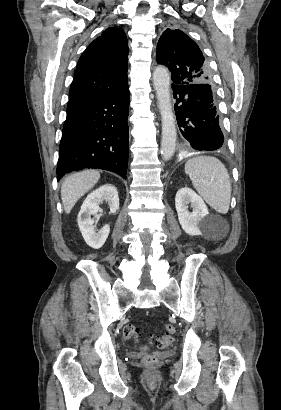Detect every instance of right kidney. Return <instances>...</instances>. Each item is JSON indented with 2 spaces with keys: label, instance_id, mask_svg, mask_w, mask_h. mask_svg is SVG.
I'll return each instance as SVG.
<instances>
[{
  "label": "right kidney",
  "instance_id": "obj_1",
  "mask_svg": "<svg viewBox=\"0 0 281 410\" xmlns=\"http://www.w3.org/2000/svg\"><path fill=\"white\" fill-rule=\"evenodd\" d=\"M106 202L109 205L110 213H115L119 209V197L116 187L105 184L91 192L83 202L79 211L77 222L85 242L94 249L101 248L110 232V226L107 224L99 231H96L93 224L100 210L99 205Z\"/></svg>",
  "mask_w": 281,
  "mask_h": 410
}]
</instances>
